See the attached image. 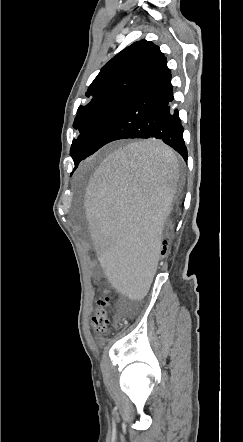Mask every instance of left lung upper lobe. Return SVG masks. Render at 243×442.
Wrapping results in <instances>:
<instances>
[{"mask_svg": "<svg viewBox=\"0 0 243 442\" xmlns=\"http://www.w3.org/2000/svg\"><path fill=\"white\" fill-rule=\"evenodd\" d=\"M164 56L159 47L141 40L113 57L89 86L85 106H79L73 127L79 136L72 142L70 155L77 168L103 125L119 103L137 87Z\"/></svg>", "mask_w": 243, "mask_h": 442, "instance_id": "5c2ea615", "label": "left lung upper lobe"}]
</instances>
